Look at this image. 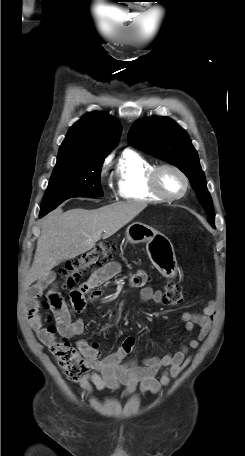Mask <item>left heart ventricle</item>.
Here are the masks:
<instances>
[{
	"label": "left heart ventricle",
	"mask_w": 245,
	"mask_h": 456,
	"mask_svg": "<svg viewBox=\"0 0 245 456\" xmlns=\"http://www.w3.org/2000/svg\"><path fill=\"white\" fill-rule=\"evenodd\" d=\"M159 185L164 192L170 195H178L184 188L182 178L170 169H164L160 172Z\"/></svg>",
	"instance_id": "left-heart-ventricle-1"
}]
</instances>
